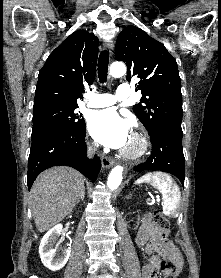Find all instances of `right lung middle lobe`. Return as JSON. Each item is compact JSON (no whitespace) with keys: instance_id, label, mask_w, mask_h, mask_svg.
<instances>
[{"instance_id":"obj_1","label":"right lung middle lobe","mask_w":221,"mask_h":278,"mask_svg":"<svg viewBox=\"0 0 221 278\" xmlns=\"http://www.w3.org/2000/svg\"><path fill=\"white\" fill-rule=\"evenodd\" d=\"M78 105L58 102L34 106L31 138L53 130H76L85 125L81 114L75 109Z\"/></svg>"}]
</instances>
